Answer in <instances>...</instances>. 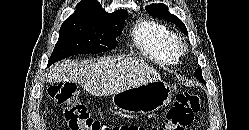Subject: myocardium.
<instances>
[{
    "label": "myocardium",
    "mask_w": 249,
    "mask_h": 130,
    "mask_svg": "<svg viewBox=\"0 0 249 130\" xmlns=\"http://www.w3.org/2000/svg\"><path fill=\"white\" fill-rule=\"evenodd\" d=\"M187 51V46L186 44L182 42L177 43V52L179 55L184 54Z\"/></svg>",
    "instance_id": "1"
}]
</instances>
